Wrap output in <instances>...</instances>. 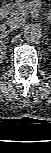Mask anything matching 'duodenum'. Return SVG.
Segmentation results:
<instances>
[{
    "instance_id": "410a0bca",
    "label": "duodenum",
    "mask_w": 51,
    "mask_h": 153,
    "mask_svg": "<svg viewBox=\"0 0 51 153\" xmlns=\"http://www.w3.org/2000/svg\"><path fill=\"white\" fill-rule=\"evenodd\" d=\"M5 16H6V9H5V8H2V9L0 10V19L5 18Z\"/></svg>"
}]
</instances>
